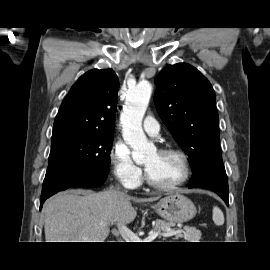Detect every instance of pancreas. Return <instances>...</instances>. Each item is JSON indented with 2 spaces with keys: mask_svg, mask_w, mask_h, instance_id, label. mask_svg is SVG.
<instances>
[{
  "mask_svg": "<svg viewBox=\"0 0 270 270\" xmlns=\"http://www.w3.org/2000/svg\"><path fill=\"white\" fill-rule=\"evenodd\" d=\"M172 223L157 219L154 224V231L158 233H167L171 231ZM184 238L187 242H199L201 231L194 227H186L185 232L176 234L175 239Z\"/></svg>",
  "mask_w": 270,
  "mask_h": 270,
  "instance_id": "pancreas-1",
  "label": "pancreas"
}]
</instances>
